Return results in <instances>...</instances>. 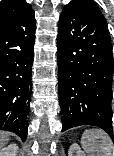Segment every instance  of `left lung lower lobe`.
Returning a JSON list of instances; mask_svg holds the SVG:
<instances>
[{
    "label": "left lung lower lobe",
    "mask_w": 114,
    "mask_h": 156,
    "mask_svg": "<svg viewBox=\"0 0 114 156\" xmlns=\"http://www.w3.org/2000/svg\"><path fill=\"white\" fill-rule=\"evenodd\" d=\"M62 131L94 125L113 139V55L105 18L83 1H71L59 18L57 36ZM62 58V59H61Z\"/></svg>",
    "instance_id": "0a47b994"
}]
</instances>
